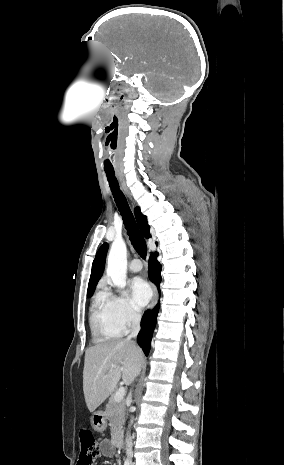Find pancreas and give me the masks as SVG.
Here are the masks:
<instances>
[{"label":"pancreas","mask_w":284,"mask_h":465,"mask_svg":"<svg viewBox=\"0 0 284 465\" xmlns=\"http://www.w3.org/2000/svg\"><path fill=\"white\" fill-rule=\"evenodd\" d=\"M115 395H111L108 405H106L107 409L104 413L106 419L110 421L111 425V437L114 443L116 437H118L122 425L125 423V403L121 401V403H116L114 401Z\"/></svg>","instance_id":"cf45deb5"}]
</instances>
